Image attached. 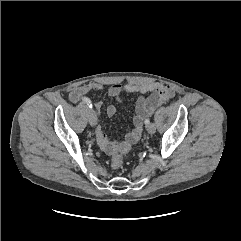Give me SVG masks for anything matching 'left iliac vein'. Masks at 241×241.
<instances>
[{"instance_id": "1", "label": "left iliac vein", "mask_w": 241, "mask_h": 241, "mask_svg": "<svg viewBox=\"0 0 241 241\" xmlns=\"http://www.w3.org/2000/svg\"><path fill=\"white\" fill-rule=\"evenodd\" d=\"M146 128H147L148 133H150V134H154L155 131H156V126H155L154 123H149V124L146 126Z\"/></svg>"}]
</instances>
